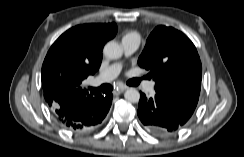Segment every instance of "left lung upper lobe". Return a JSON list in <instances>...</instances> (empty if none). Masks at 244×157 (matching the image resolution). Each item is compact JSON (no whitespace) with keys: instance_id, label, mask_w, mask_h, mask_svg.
Masks as SVG:
<instances>
[{"instance_id":"left-lung-upper-lobe-1","label":"left lung upper lobe","mask_w":244,"mask_h":157,"mask_svg":"<svg viewBox=\"0 0 244 157\" xmlns=\"http://www.w3.org/2000/svg\"><path fill=\"white\" fill-rule=\"evenodd\" d=\"M138 64L150 71L147 77L155 81L156 95L188 121L197 106L202 79L201 61L191 40L173 27L158 26Z\"/></svg>"}]
</instances>
